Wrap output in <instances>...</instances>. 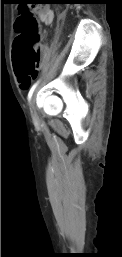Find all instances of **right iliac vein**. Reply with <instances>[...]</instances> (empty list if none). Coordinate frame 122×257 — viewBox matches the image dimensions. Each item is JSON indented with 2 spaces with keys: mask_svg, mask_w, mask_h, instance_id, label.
Instances as JSON below:
<instances>
[{
  "mask_svg": "<svg viewBox=\"0 0 122 257\" xmlns=\"http://www.w3.org/2000/svg\"><path fill=\"white\" fill-rule=\"evenodd\" d=\"M30 109H31L32 117L35 118L36 117V112H35V107H34V98L31 99Z\"/></svg>",
  "mask_w": 122,
  "mask_h": 257,
  "instance_id": "right-iliac-vein-1",
  "label": "right iliac vein"
}]
</instances>
